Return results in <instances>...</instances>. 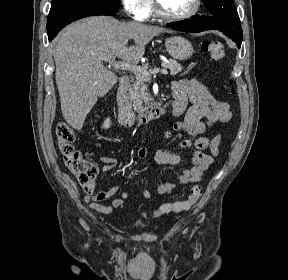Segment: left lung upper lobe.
<instances>
[{"label": "left lung upper lobe", "mask_w": 288, "mask_h": 280, "mask_svg": "<svg viewBox=\"0 0 288 280\" xmlns=\"http://www.w3.org/2000/svg\"><path fill=\"white\" fill-rule=\"evenodd\" d=\"M213 15L207 20L232 40L242 42V29L233 0H203Z\"/></svg>", "instance_id": "left-lung-upper-lobe-1"}]
</instances>
